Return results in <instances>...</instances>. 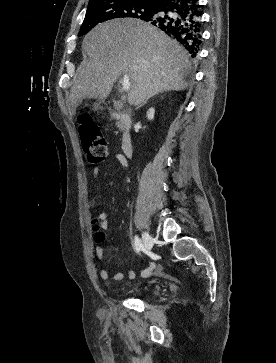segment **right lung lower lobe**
<instances>
[{
	"mask_svg": "<svg viewBox=\"0 0 276 363\" xmlns=\"http://www.w3.org/2000/svg\"><path fill=\"white\" fill-rule=\"evenodd\" d=\"M146 22L179 41L195 57L201 43V12L198 0H164Z\"/></svg>",
	"mask_w": 276,
	"mask_h": 363,
	"instance_id": "obj_1",
	"label": "right lung lower lobe"
}]
</instances>
